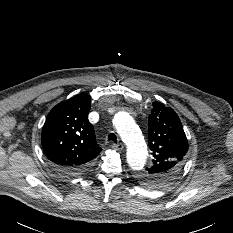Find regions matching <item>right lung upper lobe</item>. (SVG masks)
<instances>
[{"label":"right lung upper lobe","mask_w":233,"mask_h":233,"mask_svg":"<svg viewBox=\"0 0 233 233\" xmlns=\"http://www.w3.org/2000/svg\"><path fill=\"white\" fill-rule=\"evenodd\" d=\"M90 103L91 97L86 93L63 101L50 111L43 126L44 153L66 172L84 170L101 151L88 120Z\"/></svg>","instance_id":"cb5924a9"}]
</instances>
